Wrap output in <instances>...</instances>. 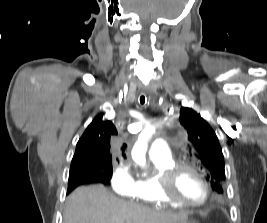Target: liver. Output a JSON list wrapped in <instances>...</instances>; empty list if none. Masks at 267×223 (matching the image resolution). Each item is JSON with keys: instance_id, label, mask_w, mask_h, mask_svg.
I'll return each mask as SVG.
<instances>
[{"instance_id": "1", "label": "liver", "mask_w": 267, "mask_h": 223, "mask_svg": "<svg viewBox=\"0 0 267 223\" xmlns=\"http://www.w3.org/2000/svg\"><path fill=\"white\" fill-rule=\"evenodd\" d=\"M186 213L159 211L113 196L102 185L74 190L68 197L63 223H177Z\"/></svg>"}]
</instances>
